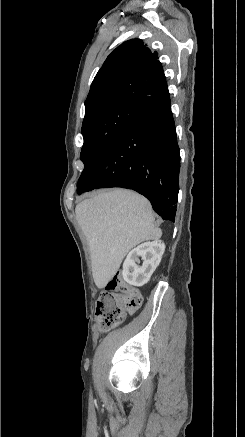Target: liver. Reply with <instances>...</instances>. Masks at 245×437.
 <instances>
[{
	"instance_id": "1",
	"label": "liver",
	"mask_w": 245,
	"mask_h": 437,
	"mask_svg": "<svg viewBox=\"0 0 245 437\" xmlns=\"http://www.w3.org/2000/svg\"><path fill=\"white\" fill-rule=\"evenodd\" d=\"M77 221L90 249L93 279L103 288L136 245L158 240L162 231L154 224L150 202L123 189L103 191L76 206Z\"/></svg>"
}]
</instances>
